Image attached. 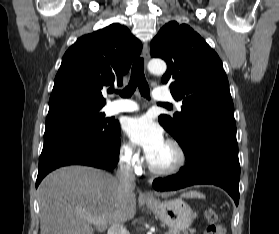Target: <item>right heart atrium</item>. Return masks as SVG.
<instances>
[{
	"label": "right heart atrium",
	"instance_id": "obj_1",
	"mask_svg": "<svg viewBox=\"0 0 279 234\" xmlns=\"http://www.w3.org/2000/svg\"><path fill=\"white\" fill-rule=\"evenodd\" d=\"M118 158L121 164L131 170L137 169L141 164L138 150L128 142H122L118 150Z\"/></svg>",
	"mask_w": 279,
	"mask_h": 234
}]
</instances>
